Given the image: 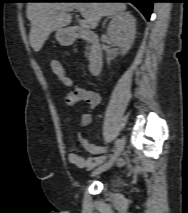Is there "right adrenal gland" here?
Returning a JSON list of instances; mask_svg holds the SVG:
<instances>
[{"label":"right adrenal gland","instance_id":"right-adrenal-gland-1","mask_svg":"<svg viewBox=\"0 0 188 213\" xmlns=\"http://www.w3.org/2000/svg\"><path fill=\"white\" fill-rule=\"evenodd\" d=\"M111 17H107L104 22H103V26L106 24V22L108 21V19H110Z\"/></svg>","mask_w":188,"mask_h":213}]
</instances>
